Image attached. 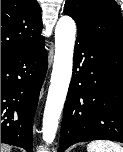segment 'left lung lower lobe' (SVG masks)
I'll return each instance as SVG.
<instances>
[{
  "label": "left lung lower lobe",
  "instance_id": "1",
  "mask_svg": "<svg viewBox=\"0 0 123 152\" xmlns=\"http://www.w3.org/2000/svg\"><path fill=\"white\" fill-rule=\"evenodd\" d=\"M59 152L77 142L123 143V50L77 28Z\"/></svg>",
  "mask_w": 123,
  "mask_h": 152
}]
</instances>
